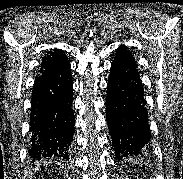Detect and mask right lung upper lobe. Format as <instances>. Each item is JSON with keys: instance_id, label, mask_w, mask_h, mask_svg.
I'll use <instances>...</instances> for the list:
<instances>
[{"instance_id": "1", "label": "right lung upper lobe", "mask_w": 183, "mask_h": 179, "mask_svg": "<svg viewBox=\"0 0 183 179\" xmlns=\"http://www.w3.org/2000/svg\"><path fill=\"white\" fill-rule=\"evenodd\" d=\"M69 64L66 55L60 49H54L49 51L42 59L40 68H58L64 67Z\"/></svg>"}]
</instances>
